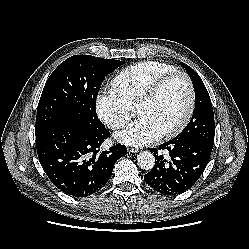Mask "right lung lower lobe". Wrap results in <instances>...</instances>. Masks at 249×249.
<instances>
[{
    "instance_id": "98d812e1",
    "label": "right lung lower lobe",
    "mask_w": 249,
    "mask_h": 249,
    "mask_svg": "<svg viewBox=\"0 0 249 249\" xmlns=\"http://www.w3.org/2000/svg\"><path fill=\"white\" fill-rule=\"evenodd\" d=\"M110 133L69 123L36 135L40 163L51 182L67 195L87 197L109 180L115 162L127 154L126 146L116 144L108 151L100 146Z\"/></svg>"
}]
</instances>
